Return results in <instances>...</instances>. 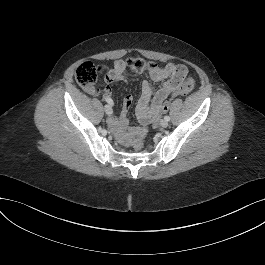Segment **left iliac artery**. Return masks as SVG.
Masks as SVG:
<instances>
[{
    "label": "left iliac artery",
    "instance_id": "obj_1",
    "mask_svg": "<svg viewBox=\"0 0 265 265\" xmlns=\"http://www.w3.org/2000/svg\"><path fill=\"white\" fill-rule=\"evenodd\" d=\"M164 119L167 120V121H170V117L169 116H165Z\"/></svg>",
    "mask_w": 265,
    "mask_h": 265
}]
</instances>
